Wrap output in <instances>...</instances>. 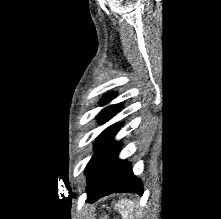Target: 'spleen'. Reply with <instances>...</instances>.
Wrapping results in <instances>:
<instances>
[{"label":"spleen","instance_id":"spleen-1","mask_svg":"<svg viewBox=\"0 0 221 219\" xmlns=\"http://www.w3.org/2000/svg\"><path fill=\"white\" fill-rule=\"evenodd\" d=\"M115 209L121 214L122 219H138L141 214L135 202L128 199L120 200L115 204Z\"/></svg>","mask_w":221,"mask_h":219}]
</instances>
